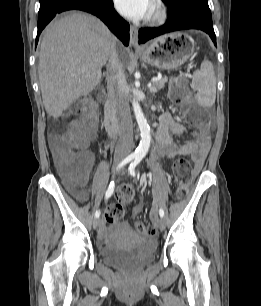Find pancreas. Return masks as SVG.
Here are the masks:
<instances>
[{
  "label": "pancreas",
  "instance_id": "cf45deb5",
  "mask_svg": "<svg viewBox=\"0 0 261 306\" xmlns=\"http://www.w3.org/2000/svg\"><path fill=\"white\" fill-rule=\"evenodd\" d=\"M165 82H166L165 79H162V80H159V81H153L152 87L154 88V90L150 89V92L155 93V92L159 91L160 89L164 88L165 87Z\"/></svg>",
  "mask_w": 261,
  "mask_h": 306
}]
</instances>
